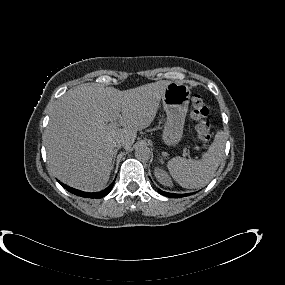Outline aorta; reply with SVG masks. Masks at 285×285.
I'll list each match as a JSON object with an SVG mask.
<instances>
[{
    "label": "aorta",
    "instance_id": "762f6f07",
    "mask_svg": "<svg viewBox=\"0 0 285 285\" xmlns=\"http://www.w3.org/2000/svg\"><path fill=\"white\" fill-rule=\"evenodd\" d=\"M151 156L150 149L145 145H139L135 149V157L140 161H148Z\"/></svg>",
    "mask_w": 285,
    "mask_h": 285
}]
</instances>
